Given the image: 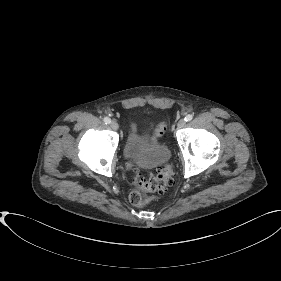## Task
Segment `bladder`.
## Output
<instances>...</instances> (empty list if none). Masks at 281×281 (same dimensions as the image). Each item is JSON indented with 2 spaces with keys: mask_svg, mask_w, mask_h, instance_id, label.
<instances>
[{
  "mask_svg": "<svg viewBox=\"0 0 281 281\" xmlns=\"http://www.w3.org/2000/svg\"><path fill=\"white\" fill-rule=\"evenodd\" d=\"M124 157L135 165L152 168L166 163L171 150L166 144L152 139L148 130L131 132L124 145Z\"/></svg>",
  "mask_w": 281,
  "mask_h": 281,
  "instance_id": "31cf9c89",
  "label": "bladder"
}]
</instances>
